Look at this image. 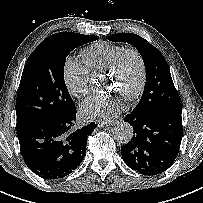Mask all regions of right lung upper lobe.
<instances>
[{"mask_svg": "<svg viewBox=\"0 0 203 203\" xmlns=\"http://www.w3.org/2000/svg\"><path fill=\"white\" fill-rule=\"evenodd\" d=\"M61 33H63V32L53 34V35L47 37L45 40H48V39H51V38H53V37L59 36Z\"/></svg>", "mask_w": 203, "mask_h": 203, "instance_id": "1", "label": "right lung upper lobe"}]
</instances>
